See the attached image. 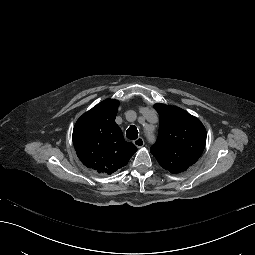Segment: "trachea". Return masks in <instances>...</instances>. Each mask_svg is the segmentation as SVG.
<instances>
[{
	"instance_id": "trachea-1",
	"label": "trachea",
	"mask_w": 255,
	"mask_h": 255,
	"mask_svg": "<svg viewBox=\"0 0 255 255\" xmlns=\"http://www.w3.org/2000/svg\"><path fill=\"white\" fill-rule=\"evenodd\" d=\"M126 137L131 140H135L138 138V130L136 126L132 125L126 131Z\"/></svg>"
}]
</instances>
